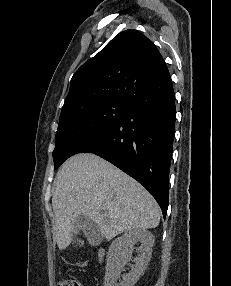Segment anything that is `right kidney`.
Masks as SVG:
<instances>
[{
  "label": "right kidney",
  "instance_id": "1",
  "mask_svg": "<svg viewBox=\"0 0 231 286\" xmlns=\"http://www.w3.org/2000/svg\"><path fill=\"white\" fill-rule=\"evenodd\" d=\"M155 238L146 229H134L116 238L108 251L107 265L103 286H134L141 275H143L148 264ZM140 242L142 245L138 250V256L133 260L131 271L122 275L124 266L132 259L134 245Z\"/></svg>",
  "mask_w": 231,
  "mask_h": 286
}]
</instances>
